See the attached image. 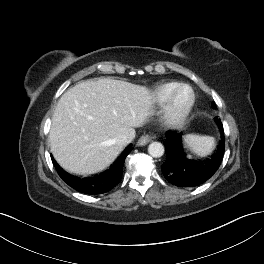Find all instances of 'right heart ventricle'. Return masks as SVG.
<instances>
[{"label":"right heart ventricle","instance_id":"right-heart-ventricle-1","mask_svg":"<svg viewBox=\"0 0 264 264\" xmlns=\"http://www.w3.org/2000/svg\"><path fill=\"white\" fill-rule=\"evenodd\" d=\"M177 82H164L154 90V97L159 103L165 102L170 92L177 87Z\"/></svg>","mask_w":264,"mask_h":264}]
</instances>
